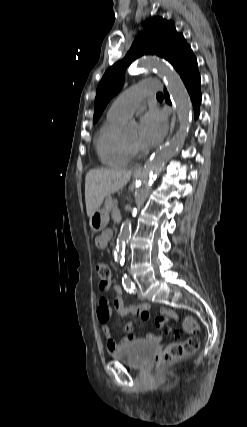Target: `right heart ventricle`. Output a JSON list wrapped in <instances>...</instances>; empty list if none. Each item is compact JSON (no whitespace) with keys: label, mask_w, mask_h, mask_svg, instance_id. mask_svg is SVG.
Instances as JSON below:
<instances>
[{"label":"right heart ventricle","mask_w":247,"mask_h":427,"mask_svg":"<svg viewBox=\"0 0 247 427\" xmlns=\"http://www.w3.org/2000/svg\"><path fill=\"white\" fill-rule=\"evenodd\" d=\"M123 119L110 117L99 128L94 144L100 162L108 167H120L130 161L124 145L123 137L120 133V126Z\"/></svg>","instance_id":"obj_1"}]
</instances>
